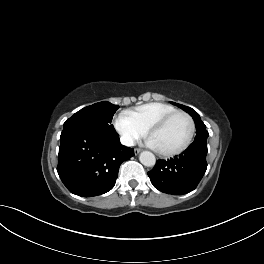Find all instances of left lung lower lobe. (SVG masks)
I'll return each mask as SVG.
<instances>
[{
	"mask_svg": "<svg viewBox=\"0 0 264 264\" xmlns=\"http://www.w3.org/2000/svg\"><path fill=\"white\" fill-rule=\"evenodd\" d=\"M207 143L193 142L182 154L158 160L148 172L153 186L167 194L182 195L196 188L207 169Z\"/></svg>",
	"mask_w": 264,
	"mask_h": 264,
	"instance_id": "1",
	"label": "left lung lower lobe"
}]
</instances>
